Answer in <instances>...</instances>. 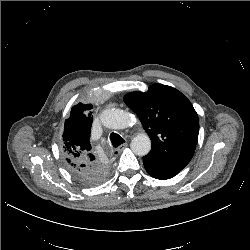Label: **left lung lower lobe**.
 Masks as SVG:
<instances>
[{"label": "left lung lower lobe", "instance_id": "left-lung-lower-lobe-1", "mask_svg": "<svg viewBox=\"0 0 250 250\" xmlns=\"http://www.w3.org/2000/svg\"><path fill=\"white\" fill-rule=\"evenodd\" d=\"M143 163L149 175L161 180L170 179L182 170L181 168L159 165L145 157H143Z\"/></svg>", "mask_w": 250, "mask_h": 250}]
</instances>
